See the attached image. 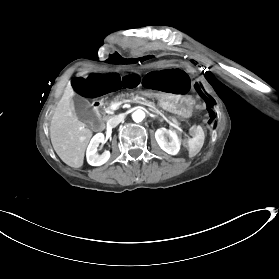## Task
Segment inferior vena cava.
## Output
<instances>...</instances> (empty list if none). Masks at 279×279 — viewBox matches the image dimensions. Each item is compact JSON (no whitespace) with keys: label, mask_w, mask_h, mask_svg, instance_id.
<instances>
[{"label":"inferior vena cava","mask_w":279,"mask_h":279,"mask_svg":"<svg viewBox=\"0 0 279 279\" xmlns=\"http://www.w3.org/2000/svg\"><path fill=\"white\" fill-rule=\"evenodd\" d=\"M126 113L123 114H119L118 116H114L113 118L107 120V128H114L116 127L120 121L124 122V115Z\"/></svg>","instance_id":"obj_1"}]
</instances>
